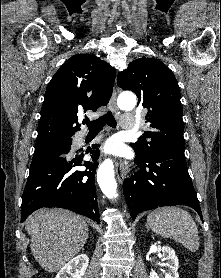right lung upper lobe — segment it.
<instances>
[{
    "label": "right lung upper lobe",
    "mask_w": 221,
    "mask_h": 278,
    "mask_svg": "<svg viewBox=\"0 0 221 278\" xmlns=\"http://www.w3.org/2000/svg\"><path fill=\"white\" fill-rule=\"evenodd\" d=\"M116 70L91 54L67 60L47 86L36 145L71 138L80 130L78 117L105 106L112 95Z\"/></svg>",
    "instance_id": "1"
}]
</instances>
